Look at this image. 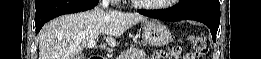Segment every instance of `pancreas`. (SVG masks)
Returning a JSON list of instances; mask_svg holds the SVG:
<instances>
[{
    "label": "pancreas",
    "instance_id": "cf45deb5",
    "mask_svg": "<svg viewBox=\"0 0 261 59\" xmlns=\"http://www.w3.org/2000/svg\"><path fill=\"white\" fill-rule=\"evenodd\" d=\"M117 59H147V57L144 50L131 47L122 52Z\"/></svg>",
    "mask_w": 261,
    "mask_h": 59
}]
</instances>
